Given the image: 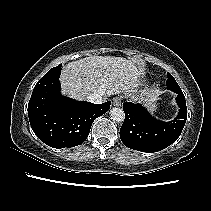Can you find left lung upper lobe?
I'll return each instance as SVG.
<instances>
[{
	"mask_svg": "<svg viewBox=\"0 0 211 211\" xmlns=\"http://www.w3.org/2000/svg\"><path fill=\"white\" fill-rule=\"evenodd\" d=\"M167 82H166V85H167V89L168 90H172L174 91L175 89H178L180 88L179 85L177 84L176 80L174 79V77L167 73Z\"/></svg>",
	"mask_w": 211,
	"mask_h": 211,
	"instance_id": "1",
	"label": "left lung upper lobe"
}]
</instances>
